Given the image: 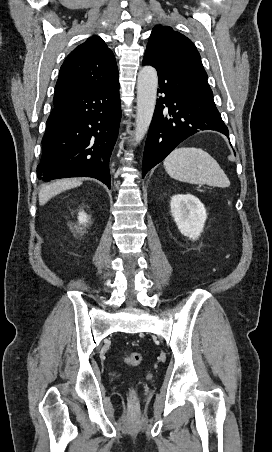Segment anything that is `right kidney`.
Instances as JSON below:
<instances>
[{
	"mask_svg": "<svg viewBox=\"0 0 272 452\" xmlns=\"http://www.w3.org/2000/svg\"><path fill=\"white\" fill-rule=\"evenodd\" d=\"M78 220L80 224H85L88 221V216L84 211L79 212Z\"/></svg>",
	"mask_w": 272,
	"mask_h": 452,
	"instance_id": "obj_1",
	"label": "right kidney"
}]
</instances>
